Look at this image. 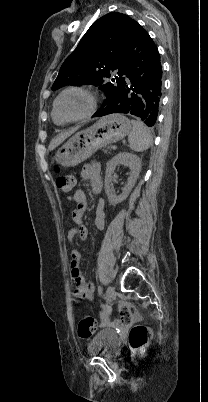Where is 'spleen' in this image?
Listing matches in <instances>:
<instances>
[{"label":"spleen","instance_id":"spleen-1","mask_svg":"<svg viewBox=\"0 0 208 402\" xmlns=\"http://www.w3.org/2000/svg\"><path fill=\"white\" fill-rule=\"evenodd\" d=\"M132 132L128 136L129 148L134 152H144L152 146V136L143 122L132 120Z\"/></svg>","mask_w":208,"mask_h":402}]
</instances>
